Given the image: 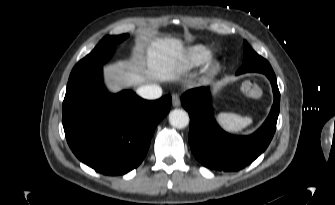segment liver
Segmentation results:
<instances>
[{
    "instance_id": "1",
    "label": "liver",
    "mask_w": 335,
    "mask_h": 205,
    "mask_svg": "<svg viewBox=\"0 0 335 205\" xmlns=\"http://www.w3.org/2000/svg\"><path fill=\"white\" fill-rule=\"evenodd\" d=\"M184 46L177 38L144 39L137 48L134 64H115L105 68L111 91L138 87L151 80L175 81L182 73Z\"/></svg>"
}]
</instances>
